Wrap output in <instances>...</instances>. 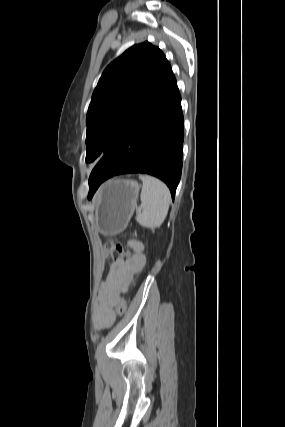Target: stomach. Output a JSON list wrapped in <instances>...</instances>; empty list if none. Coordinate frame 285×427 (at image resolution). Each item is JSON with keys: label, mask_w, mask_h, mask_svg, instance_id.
Wrapping results in <instances>:
<instances>
[{"label": "stomach", "mask_w": 285, "mask_h": 427, "mask_svg": "<svg viewBox=\"0 0 285 427\" xmlns=\"http://www.w3.org/2000/svg\"><path fill=\"white\" fill-rule=\"evenodd\" d=\"M140 185L133 180H109L94 199L95 221L100 233L117 235L134 213Z\"/></svg>", "instance_id": "1"}]
</instances>
